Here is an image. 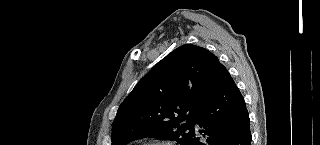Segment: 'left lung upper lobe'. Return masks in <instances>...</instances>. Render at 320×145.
<instances>
[{
	"mask_svg": "<svg viewBox=\"0 0 320 145\" xmlns=\"http://www.w3.org/2000/svg\"><path fill=\"white\" fill-rule=\"evenodd\" d=\"M219 62L203 47L184 44L158 62L120 105L112 145L142 137L187 145L203 105V89Z\"/></svg>",
	"mask_w": 320,
	"mask_h": 145,
	"instance_id": "5c2ea615",
	"label": "left lung upper lobe"
}]
</instances>
